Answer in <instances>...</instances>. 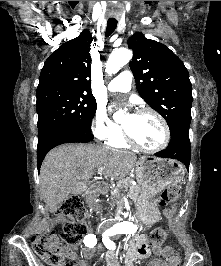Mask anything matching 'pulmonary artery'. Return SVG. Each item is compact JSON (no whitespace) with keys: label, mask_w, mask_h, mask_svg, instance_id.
Listing matches in <instances>:
<instances>
[{"label":"pulmonary artery","mask_w":221,"mask_h":266,"mask_svg":"<svg viewBox=\"0 0 221 266\" xmlns=\"http://www.w3.org/2000/svg\"><path fill=\"white\" fill-rule=\"evenodd\" d=\"M131 84L132 74L125 70L108 84V90L111 92H128L131 89Z\"/></svg>","instance_id":"obj_1"}]
</instances>
